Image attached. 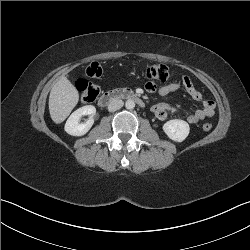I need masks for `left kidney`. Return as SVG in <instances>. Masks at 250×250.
Here are the masks:
<instances>
[{"label":"left kidney","instance_id":"left-kidney-1","mask_svg":"<svg viewBox=\"0 0 250 250\" xmlns=\"http://www.w3.org/2000/svg\"><path fill=\"white\" fill-rule=\"evenodd\" d=\"M163 131L171 140L182 142L189 135L190 127L184 120L173 119L163 125Z\"/></svg>","mask_w":250,"mask_h":250}]
</instances>
